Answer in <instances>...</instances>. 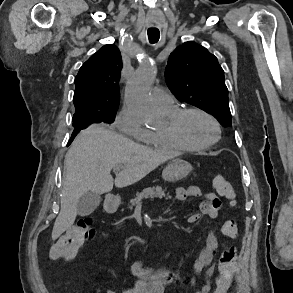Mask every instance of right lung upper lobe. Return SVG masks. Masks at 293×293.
I'll return each mask as SVG.
<instances>
[{
	"instance_id": "obj_1",
	"label": "right lung upper lobe",
	"mask_w": 293,
	"mask_h": 293,
	"mask_svg": "<svg viewBox=\"0 0 293 293\" xmlns=\"http://www.w3.org/2000/svg\"><path fill=\"white\" fill-rule=\"evenodd\" d=\"M122 58L119 49L104 45L80 68L75 78L73 103L77 110H117Z\"/></svg>"
}]
</instances>
